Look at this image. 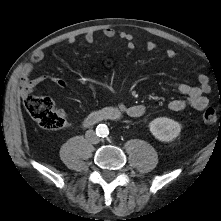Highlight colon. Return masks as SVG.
Masks as SVG:
<instances>
[{
  "label": "colon",
  "instance_id": "5ec220e1",
  "mask_svg": "<svg viewBox=\"0 0 221 221\" xmlns=\"http://www.w3.org/2000/svg\"><path fill=\"white\" fill-rule=\"evenodd\" d=\"M24 105L29 114L43 129L54 131L65 127L64 117L54 109L53 102L49 98L28 95L24 100ZM202 117L206 124H215L221 119L212 108L206 109Z\"/></svg>",
  "mask_w": 221,
  "mask_h": 221
}]
</instances>
